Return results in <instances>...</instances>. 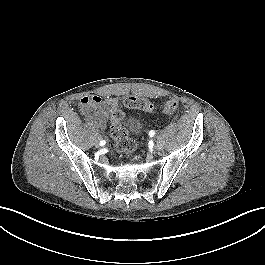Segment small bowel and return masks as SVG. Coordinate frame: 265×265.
Returning a JSON list of instances; mask_svg holds the SVG:
<instances>
[{
	"label": "small bowel",
	"instance_id": "1",
	"mask_svg": "<svg viewBox=\"0 0 265 265\" xmlns=\"http://www.w3.org/2000/svg\"><path fill=\"white\" fill-rule=\"evenodd\" d=\"M117 102L116 98L103 99L99 95H88L80 99V109L86 117L103 127L107 114L117 105Z\"/></svg>",
	"mask_w": 265,
	"mask_h": 265
}]
</instances>
